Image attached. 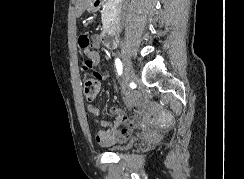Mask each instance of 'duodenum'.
<instances>
[{
  "label": "duodenum",
  "mask_w": 244,
  "mask_h": 179,
  "mask_svg": "<svg viewBox=\"0 0 244 179\" xmlns=\"http://www.w3.org/2000/svg\"><path fill=\"white\" fill-rule=\"evenodd\" d=\"M108 0H95L92 2L91 10H98V6H102V3H107ZM117 11V10H116ZM116 13L108 19V24L103 30L101 38L105 46L113 48L118 42L117 27L115 23Z\"/></svg>",
  "instance_id": "1"
}]
</instances>
